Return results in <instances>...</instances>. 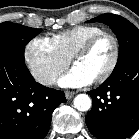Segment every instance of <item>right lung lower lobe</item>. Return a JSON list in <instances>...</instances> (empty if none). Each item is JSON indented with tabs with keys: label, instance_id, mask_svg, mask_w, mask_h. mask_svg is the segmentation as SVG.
<instances>
[{
	"label": "right lung lower lobe",
	"instance_id": "98d812e1",
	"mask_svg": "<svg viewBox=\"0 0 139 139\" xmlns=\"http://www.w3.org/2000/svg\"><path fill=\"white\" fill-rule=\"evenodd\" d=\"M63 91L35 81L24 58L0 53V139H43Z\"/></svg>",
	"mask_w": 139,
	"mask_h": 139
}]
</instances>
